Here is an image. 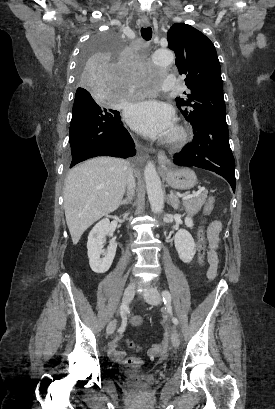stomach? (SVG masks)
<instances>
[{
  "label": "stomach",
  "instance_id": "obj_1",
  "mask_svg": "<svg viewBox=\"0 0 275 409\" xmlns=\"http://www.w3.org/2000/svg\"><path fill=\"white\" fill-rule=\"evenodd\" d=\"M166 180L172 188H192L197 182V176L191 168H161Z\"/></svg>",
  "mask_w": 275,
  "mask_h": 409
}]
</instances>
